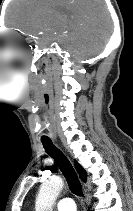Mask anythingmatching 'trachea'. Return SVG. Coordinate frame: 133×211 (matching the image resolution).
<instances>
[{
	"label": "trachea",
	"instance_id": "3493384b",
	"mask_svg": "<svg viewBox=\"0 0 133 211\" xmlns=\"http://www.w3.org/2000/svg\"><path fill=\"white\" fill-rule=\"evenodd\" d=\"M42 144L47 154L57 163L59 169L66 178L71 192L77 196H82V185L68 158L52 143L51 140H42Z\"/></svg>",
	"mask_w": 133,
	"mask_h": 211
}]
</instances>
